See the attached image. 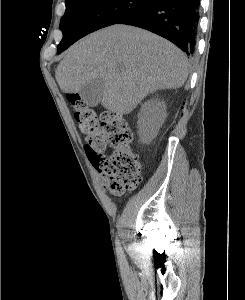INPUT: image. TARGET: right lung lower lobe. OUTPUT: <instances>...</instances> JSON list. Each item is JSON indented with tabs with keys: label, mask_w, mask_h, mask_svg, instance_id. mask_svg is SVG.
I'll return each instance as SVG.
<instances>
[{
	"label": "right lung lower lobe",
	"mask_w": 245,
	"mask_h": 300,
	"mask_svg": "<svg viewBox=\"0 0 245 300\" xmlns=\"http://www.w3.org/2000/svg\"><path fill=\"white\" fill-rule=\"evenodd\" d=\"M199 0H152L117 24L147 29L191 55L195 51Z\"/></svg>",
	"instance_id": "98d812e1"
}]
</instances>
